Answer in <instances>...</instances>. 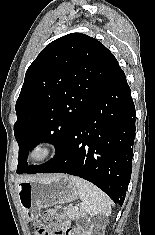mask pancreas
<instances>
[{"mask_svg": "<svg viewBox=\"0 0 155 235\" xmlns=\"http://www.w3.org/2000/svg\"><path fill=\"white\" fill-rule=\"evenodd\" d=\"M67 210V214L71 219H76L79 216V212L74 208H65Z\"/></svg>", "mask_w": 155, "mask_h": 235, "instance_id": "pancreas-1", "label": "pancreas"}]
</instances>
